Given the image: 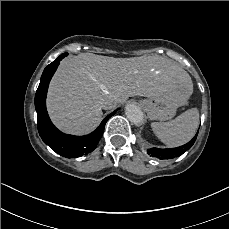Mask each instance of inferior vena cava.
<instances>
[{
	"label": "inferior vena cava",
	"mask_w": 229,
	"mask_h": 229,
	"mask_svg": "<svg viewBox=\"0 0 229 229\" xmlns=\"http://www.w3.org/2000/svg\"><path fill=\"white\" fill-rule=\"evenodd\" d=\"M107 103L110 104V105L108 107L106 105H103V108L110 109V108H113V107H115L117 105L116 103L112 104L110 101L107 102Z\"/></svg>",
	"instance_id": "602c4592"
}]
</instances>
